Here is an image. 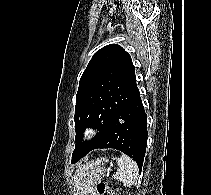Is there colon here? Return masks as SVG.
I'll use <instances>...</instances> for the list:
<instances>
[{
    "instance_id": "obj_1",
    "label": "colon",
    "mask_w": 211,
    "mask_h": 195,
    "mask_svg": "<svg viewBox=\"0 0 211 195\" xmlns=\"http://www.w3.org/2000/svg\"><path fill=\"white\" fill-rule=\"evenodd\" d=\"M95 192L97 195H114L113 191L104 182H98L95 185Z\"/></svg>"
}]
</instances>
